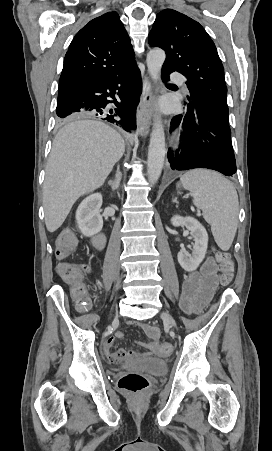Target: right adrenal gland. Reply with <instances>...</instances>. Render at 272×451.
Returning a JSON list of instances; mask_svg holds the SVG:
<instances>
[{
    "label": "right adrenal gland",
    "mask_w": 272,
    "mask_h": 451,
    "mask_svg": "<svg viewBox=\"0 0 272 451\" xmlns=\"http://www.w3.org/2000/svg\"><path fill=\"white\" fill-rule=\"evenodd\" d=\"M121 172H119V166L117 168V174H116V180H109L108 184L109 186H111V190L112 192H114V190H118L119 186H120V182H121Z\"/></svg>",
    "instance_id": "obj_1"
}]
</instances>
